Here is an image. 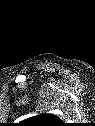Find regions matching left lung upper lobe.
Segmentation results:
<instances>
[{
  "mask_svg": "<svg viewBox=\"0 0 95 126\" xmlns=\"http://www.w3.org/2000/svg\"><path fill=\"white\" fill-rule=\"evenodd\" d=\"M27 124L31 126H57L59 124V117L53 114H40L26 119Z\"/></svg>",
  "mask_w": 95,
  "mask_h": 126,
  "instance_id": "left-lung-upper-lobe-1",
  "label": "left lung upper lobe"
}]
</instances>
